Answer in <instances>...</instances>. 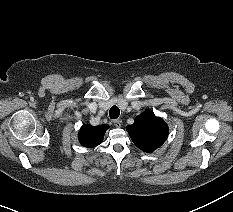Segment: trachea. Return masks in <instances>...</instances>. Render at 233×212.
I'll return each mask as SVG.
<instances>
[{"mask_svg":"<svg viewBox=\"0 0 233 212\" xmlns=\"http://www.w3.org/2000/svg\"><path fill=\"white\" fill-rule=\"evenodd\" d=\"M120 115V110L117 106H112L109 111V116L111 119H116Z\"/></svg>","mask_w":233,"mask_h":212,"instance_id":"3493384b","label":"trachea"}]
</instances>
